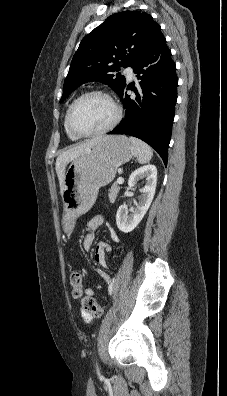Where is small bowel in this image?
<instances>
[{
  "label": "small bowel",
  "mask_w": 227,
  "mask_h": 396,
  "mask_svg": "<svg viewBox=\"0 0 227 396\" xmlns=\"http://www.w3.org/2000/svg\"><path fill=\"white\" fill-rule=\"evenodd\" d=\"M105 224V219L101 215H97L93 217L86 225V234L83 238V248L85 250H90L91 247L93 246L95 236H94V231L98 229L100 226ZM109 233L112 241L114 242H119L120 238L117 234V232L109 228ZM111 249L110 245L105 243V242H100L94 252V261L96 262L97 265L100 267L105 268L106 267V259H105V252L109 251ZM96 277L101 280L103 283L107 285L108 291H112L113 289V283L110 278V276L105 273L102 270H96L95 271ZM86 295H93V290L90 288H87L85 290ZM81 316L85 320V322L89 323L92 321L93 316L86 312L85 310H81Z\"/></svg>",
  "instance_id": "small-bowel-1"
}]
</instances>
